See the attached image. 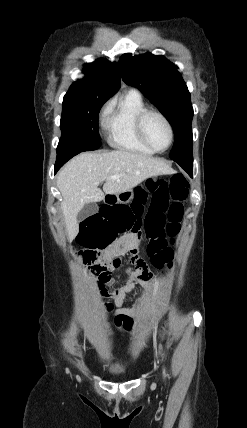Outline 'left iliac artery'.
<instances>
[{"instance_id": "obj_1", "label": "left iliac artery", "mask_w": 247, "mask_h": 428, "mask_svg": "<svg viewBox=\"0 0 247 428\" xmlns=\"http://www.w3.org/2000/svg\"><path fill=\"white\" fill-rule=\"evenodd\" d=\"M163 375H164V377H165V375H166V374H165V369H163Z\"/></svg>"}]
</instances>
